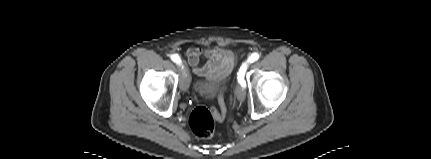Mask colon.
<instances>
[{
	"instance_id": "1",
	"label": "colon",
	"mask_w": 431,
	"mask_h": 159,
	"mask_svg": "<svg viewBox=\"0 0 431 159\" xmlns=\"http://www.w3.org/2000/svg\"><path fill=\"white\" fill-rule=\"evenodd\" d=\"M198 83V88H201V81L194 80ZM221 110L216 107L207 108L204 106L196 107L190 114L189 126L194 135L200 139L210 138L215 130L216 121H223L226 117V106L224 104L223 94L219 97Z\"/></svg>"
}]
</instances>
